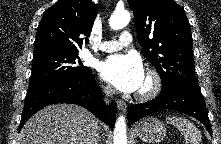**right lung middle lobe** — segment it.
Returning <instances> with one entry per match:
<instances>
[{"mask_svg": "<svg viewBox=\"0 0 221 144\" xmlns=\"http://www.w3.org/2000/svg\"><path fill=\"white\" fill-rule=\"evenodd\" d=\"M91 74V70L83 66L78 52L52 50L34 53L28 91L52 81L85 79Z\"/></svg>", "mask_w": 221, "mask_h": 144, "instance_id": "right-lung-middle-lobe-1", "label": "right lung middle lobe"}]
</instances>
